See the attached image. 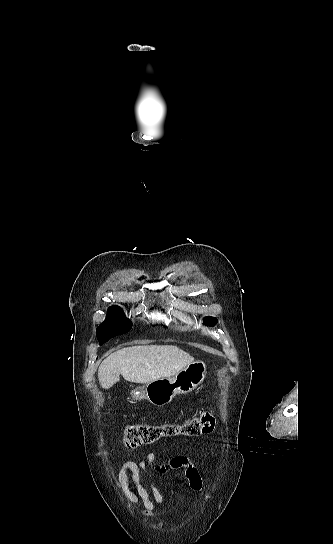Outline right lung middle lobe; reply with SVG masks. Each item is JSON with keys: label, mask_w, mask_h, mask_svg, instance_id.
<instances>
[{"label": "right lung middle lobe", "mask_w": 333, "mask_h": 544, "mask_svg": "<svg viewBox=\"0 0 333 544\" xmlns=\"http://www.w3.org/2000/svg\"><path fill=\"white\" fill-rule=\"evenodd\" d=\"M131 327L132 323L126 319L120 308L110 307L105 321L96 330L99 344L102 345L117 335L129 332Z\"/></svg>", "instance_id": "dd1d6c3e"}]
</instances>
